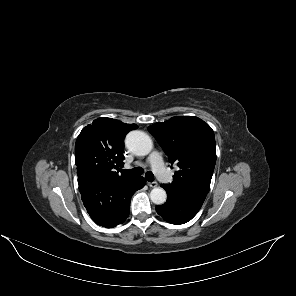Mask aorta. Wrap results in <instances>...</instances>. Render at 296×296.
<instances>
[{
  "instance_id": "1",
  "label": "aorta",
  "mask_w": 296,
  "mask_h": 296,
  "mask_svg": "<svg viewBox=\"0 0 296 296\" xmlns=\"http://www.w3.org/2000/svg\"><path fill=\"white\" fill-rule=\"evenodd\" d=\"M126 147L135 155H148L153 147L152 140L145 132L140 130H133L129 132L125 139ZM150 199L156 205L163 204L167 199L166 191L157 187L151 190Z\"/></svg>"
}]
</instances>
